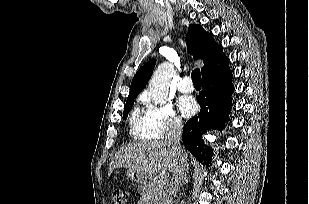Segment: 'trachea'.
<instances>
[{"label": "trachea", "mask_w": 309, "mask_h": 204, "mask_svg": "<svg viewBox=\"0 0 309 204\" xmlns=\"http://www.w3.org/2000/svg\"><path fill=\"white\" fill-rule=\"evenodd\" d=\"M191 77L195 85H201V75L199 68H196L192 71Z\"/></svg>", "instance_id": "3493384b"}]
</instances>
